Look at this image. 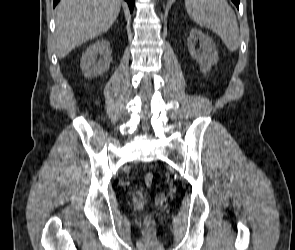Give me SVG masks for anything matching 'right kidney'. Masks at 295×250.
Listing matches in <instances>:
<instances>
[{"instance_id":"right-kidney-1","label":"right kidney","mask_w":295,"mask_h":250,"mask_svg":"<svg viewBox=\"0 0 295 250\" xmlns=\"http://www.w3.org/2000/svg\"><path fill=\"white\" fill-rule=\"evenodd\" d=\"M98 54L103 55V59L96 62ZM112 62L110 43L107 40L96 41L90 45L83 53L80 67L85 77L94 78L105 73Z\"/></svg>"}]
</instances>
